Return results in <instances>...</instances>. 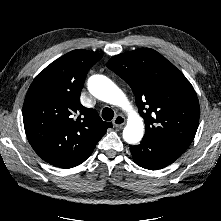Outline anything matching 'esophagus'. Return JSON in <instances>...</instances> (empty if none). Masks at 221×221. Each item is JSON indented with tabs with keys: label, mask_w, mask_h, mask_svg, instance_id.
<instances>
[{
	"label": "esophagus",
	"mask_w": 221,
	"mask_h": 221,
	"mask_svg": "<svg viewBox=\"0 0 221 221\" xmlns=\"http://www.w3.org/2000/svg\"><path fill=\"white\" fill-rule=\"evenodd\" d=\"M125 118L122 115H117L113 120V125L117 128L122 127L125 124Z\"/></svg>",
	"instance_id": "obj_1"
}]
</instances>
